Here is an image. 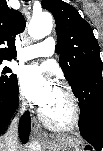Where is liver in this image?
I'll use <instances>...</instances> for the list:
<instances>
[{"instance_id":"6515ba94","label":"liver","mask_w":103,"mask_h":151,"mask_svg":"<svg viewBox=\"0 0 103 151\" xmlns=\"http://www.w3.org/2000/svg\"><path fill=\"white\" fill-rule=\"evenodd\" d=\"M1 151H5L4 149V146L3 147H1ZM20 149H21V145H20V143L19 142H17V145L15 146V148H14V151H20Z\"/></svg>"}]
</instances>
